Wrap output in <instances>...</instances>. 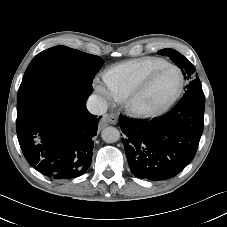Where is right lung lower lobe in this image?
I'll return each mask as SVG.
<instances>
[{
  "instance_id": "right-lung-lower-lobe-1",
  "label": "right lung lower lobe",
  "mask_w": 227,
  "mask_h": 227,
  "mask_svg": "<svg viewBox=\"0 0 227 227\" xmlns=\"http://www.w3.org/2000/svg\"><path fill=\"white\" fill-rule=\"evenodd\" d=\"M92 92L40 88L17 101V136L28 163L56 179L82 175L92 160L98 121L86 109Z\"/></svg>"
}]
</instances>
